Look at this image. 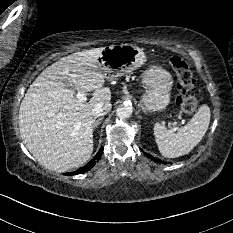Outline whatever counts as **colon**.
I'll use <instances>...</instances> for the list:
<instances>
[{"label": "colon", "mask_w": 233, "mask_h": 233, "mask_svg": "<svg viewBox=\"0 0 233 233\" xmlns=\"http://www.w3.org/2000/svg\"><path fill=\"white\" fill-rule=\"evenodd\" d=\"M169 63L180 84V91L177 97L178 104L184 112L193 113L198 107V101L190 93L194 84V78L190 67L187 62L179 56H172Z\"/></svg>", "instance_id": "5ec220e1"}]
</instances>
